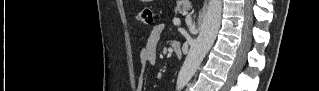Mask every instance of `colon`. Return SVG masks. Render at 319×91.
I'll list each match as a JSON object with an SVG mask.
<instances>
[{"label": "colon", "mask_w": 319, "mask_h": 91, "mask_svg": "<svg viewBox=\"0 0 319 91\" xmlns=\"http://www.w3.org/2000/svg\"><path fill=\"white\" fill-rule=\"evenodd\" d=\"M138 19L145 25L151 26L154 24L153 11L149 7H144L138 12Z\"/></svg>", "instance_id": "1"}]
</instances>
